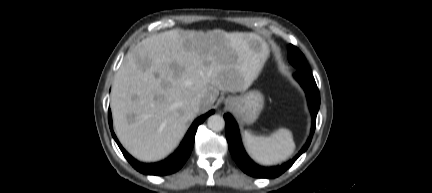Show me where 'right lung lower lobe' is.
Returning <instances> with one entry per match:
<instances>
[{
	"label": "right lung lower lobe",
	"instance_id": "98d812e1",
	"mask_svg": "<svg viewBox=\"0 0 432 193\" xmlns=\"http://www.w3.org/2000/svg\"><path fill=\"white\" fill-rule=\"evenodd\" d=\"M212 113H214L213 110L199 117L193 122L192 126L189 128L188 132L186 133L181 145L175 151L174 154H172L169 158L161 162L152 163V164H144L138 162L123 149V147L119 143L112 129V117H111L110 109L108 113V120H109V125L114 140L118 144L125 158L136 170H138L141 173L150 174V175H167L179 170L186 162L193 148L197 127Z\"/></svg>",
	"mask_w": 432,
	"mask_h": 193
}]
</instances>
